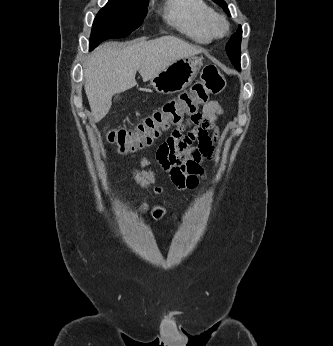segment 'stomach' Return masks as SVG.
<instances>
[{
    "instance_id": "obj_1",
    "label": "stomach",
    "mask_w": 333,
    "mask_h": 346,
    "mask_svg": "<svg viewBox=\"0 0 333 346\" xmlns=\"http://www.w3.org/2000/svg\"><path fill=\"white\" fill-rule=\"evenodd\" d=\"M203 57L190 56L169 65L150 79V85L162 94H173L188 87L199 73Z\"/></svg>"
}]
</instances>
